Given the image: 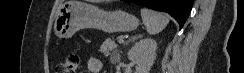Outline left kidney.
I'll list each match as a JSON object with an SVG mask.
<instances>
[{
	"mask_svg": "<svg viewBox=\"0 0 244 73\" xmlns=\"http://www.w3.org/2000/svg\"><path fill=\"white\" fill-rule=\"evenodd\" d=\"M157 42L151 38L136 42L128 52V59L137 65L136 73H149L156 58Z\"/></svg>",
	"mask_w": 244,
	"mask_h": 73,
	"instance_id": "left-kidney-1",
	"label": "left kidney"
}]
</instances>
